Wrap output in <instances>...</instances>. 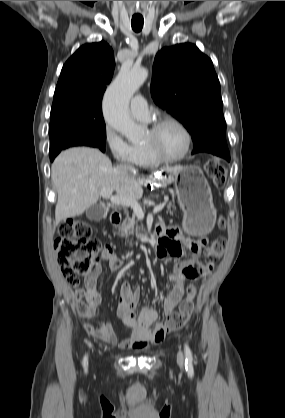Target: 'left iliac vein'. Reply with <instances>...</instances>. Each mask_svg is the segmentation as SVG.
I'll return each instance as SVG.
<instances>
[{
    "label": "left iliac vein",
    "mask_w": 285,
    "mask_h": 418,
    "mask_svg": "<svg viewBox=\"0 0 285 418\" xmlns=\"http://www.w3.org/2000/svg\"><path fill=\"white\" fill-rule=\"evenodd\" d=\"M177 363H178L180 368L184 367V356H183V353L181 351H179L178 354H177Z\"/></svg>",
    "instance_id": "4c4485c4"
}]
</instances>
